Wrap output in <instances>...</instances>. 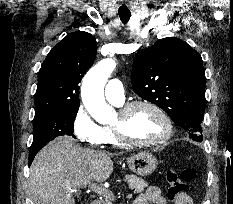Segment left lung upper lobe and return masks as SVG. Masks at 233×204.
<instances>
[{"mask_svg": "<svg viewBox=\"0 0 233 204\" xmlns=\"http://www.w3.org/2000/svg\"><path fill=\"white\" fill-rule=\"evenodd\" d=\"M205 82L200 54L178 38L158 40L133 61L134 92L162 108L196 141L203 140Z\"/></svg>", "mask_w": 233, "mask_h": 204, "instance_id": "1", "label": "left lung upper lobe"}]
</instances>
